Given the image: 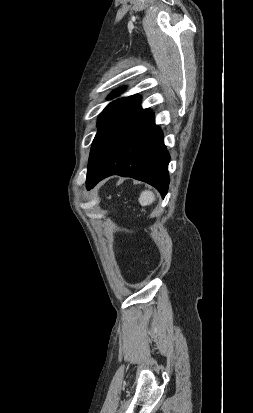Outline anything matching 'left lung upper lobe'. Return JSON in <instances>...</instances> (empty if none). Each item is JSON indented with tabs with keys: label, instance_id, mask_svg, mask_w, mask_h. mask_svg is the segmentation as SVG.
<instances>
[{
	"label": "left lung upper lobe",
	"instance_id": "1",
	"mask_svg": "<svg viewBox=\"0 0 253 413\" xmlns=\"http://www.w3.org/2000/svg\"><path fill=\"white\" fill-rule=\"evenodd\" d=\"M123 89L114 91L109 98ZM141 97L133 95L111 102L98 118V132L93 140L87 178L96 174L109 157L151 113L141 109Z\"/></svg>",
	"mask_w": 253,
	"mask_h": 413
}]
</instances>
